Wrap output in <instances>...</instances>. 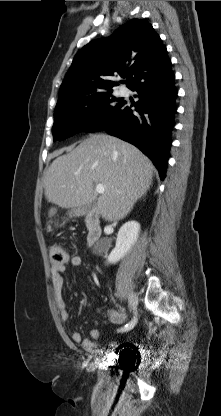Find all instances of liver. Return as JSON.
I'll list each match as a JSON object with an SVG mask.
<instances>
[{
	"instance_id": "liver-1",
	"label": "liver",
	"mask_w": 221,
	"mask_h": 416,
	"mask_svg": "<svg viewBox=\"0 0 221 416\" xmlns=\"http://www.w3.org/2000/svg\"><path fill=\"white\" fill-rule=\"evenodd\" d=\"M154 166L138 148L114 136L92 134L58 156L43 180L46 199L59 207H84L93 201L94 184L105 187L97 210L106 221H119L150 188ZM49 210V216L56 213Z\"/></svg>"
}]
</instances>
